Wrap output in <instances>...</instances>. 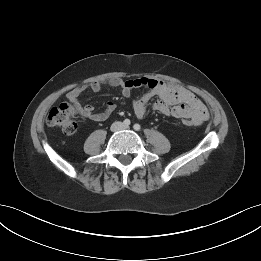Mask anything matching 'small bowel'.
I'll use <instances>...</instances> for the list:
<instances>
[{
	"label": "small bowel",
	"instance_id": "small-bowel-1",
	"mask_svg": "<svg viewBox=\"0 0 261 261\" xmlns=\"http://www.w3.org/2000/svg\"><path fill=\"white\" fill-rule=\"evenodd\" d=\"M103 86L119 88L125 97H129L133 89L145 88L146 92L133 102V110L138 118L145 116L148 103L153 97L158 98L152 105L154 111L175 118L190 119L193 125L202 124L209 116L203 102L190 90L176 84L147 77L111 78L104 81H93L69 91L67 99L81 116L93 121H104L116 109L114 102L109 101L102 112H95L92 105H82L80 102L81 95L87 89L99 92Z\"/></svg>",
	"mask_w": 261,
	"mask_h": 261
}]
</instances>
